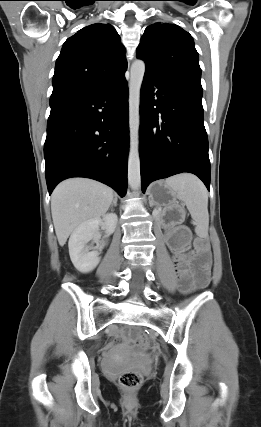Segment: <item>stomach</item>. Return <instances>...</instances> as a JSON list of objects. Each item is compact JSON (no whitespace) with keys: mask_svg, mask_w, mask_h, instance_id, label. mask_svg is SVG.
<instances>
[{"mask_svg":"<svg viewBox=\"0 0 261 427\" xmlns=\"http://www.w3.org/2000/svg\"><path fill=\"white\" fill-rule=\"evenodd\" d=\"M149 202L152 205L163 207H176L177 193L166 182L158 181L149 188Z\"/></svg>","mask_w":261,"mask_h":427,"instance_id":"1","label":"stomach"}]
</instances>
